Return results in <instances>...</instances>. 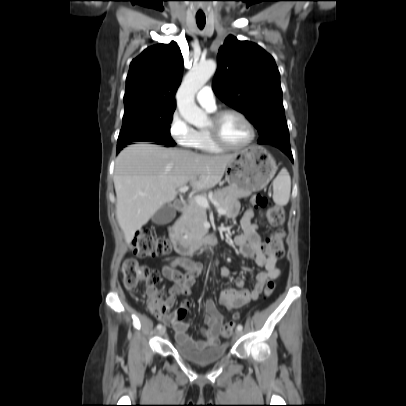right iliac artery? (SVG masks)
<instances>
[{
    "label": "right iliac artery",
    "instance_id": "82829eb1",
    "mask_svg": "<svg viewBox=\"0 0 406 406\" xmlns=\"http://www.w3.org/2000/svg\"><path fill=\"white\" fill-rule=\"evenodd\" d=\"M161 328H162V325H161V324H158V325H157V329L160 330Z\"/></svg>",
    "mask_w": 406,
    "mask_h": 406
}]
</instances>
